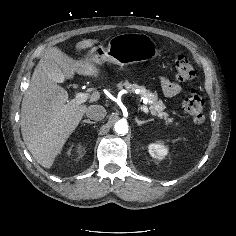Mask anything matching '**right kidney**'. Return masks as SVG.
I'll use <instances>...</instances> for the list:
<instances>
[{"mask_svg":"<svg viewBox=\"0 0 236 236\" xmlns=\"http://www.w3.org/2000/svg\"><path fill=\"white\" fill-rule=\"evenodd\" d=\"M77 151H80V147L77 148Z\"/></svg>","mask_w":236,"mask_h":236,"instance_id":"ca27d5eb","label":"right kidney"}]
</instances>
